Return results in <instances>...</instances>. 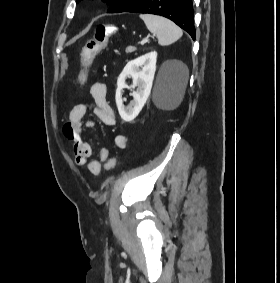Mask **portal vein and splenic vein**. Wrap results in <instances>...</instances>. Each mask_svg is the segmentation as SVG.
I'll list each match as a JSON object with an SVG mask.
<instances>
[{
  "instance_id": "portal-vein-and-splenic-vein-1",
  "label": "portal vein and splenic vein",
  "mask_w": 280,
  "mask_h": 283,
  "mask_svg": "<svg viewBox=\"0 0 280 283\" xmlns=\"http://www.w3.org/2000/svg\"><path fill=\"white\" fill-rule=\"evenodd\" d=\"M148 37L147 38H145V39H142L141 41H140V44L141 45H144L147 41H148Z\"/></svg>"
}]
</instances>
